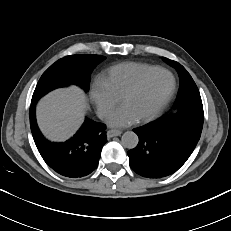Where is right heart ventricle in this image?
I'll return each instance as SVG.
<instances>
[{
    "label": "right heart ventricle",
    "mask_w": 231,
    "mask_h": 231,
    "mask_svg": "<svg viewBox=\"0 0 231 231\" xmlns=\"http://www.w3.org/2000/svg\"><path fill=\"white\" fill-rule=\"evenodd\" d=\"M157 68L159 67L146 63H120L109 68L102 79L118 98H122L124 93L142 76Z\"/></svg>",
    "instance_id": "obj_1"
}]
</instances>
